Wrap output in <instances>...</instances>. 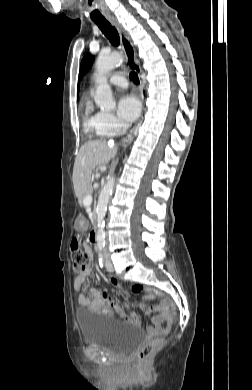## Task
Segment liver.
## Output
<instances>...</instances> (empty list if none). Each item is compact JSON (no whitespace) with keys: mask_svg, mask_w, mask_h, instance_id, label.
<instances>
[{"mask_svg":"<svg viewBox=\"0 0 252 390\" xmlns=\"http://www.w3.org/2000/svg\"><path fill=\"white\" fill-rule=\"evenodd\" d=\"M117 148L106 141H89L81 146L73 167V185L75 195L83 197L90 185L92 171L107 164L115 157Z\"/></svg>","mask_w":252,"mask_h":390,"instance_id":"obj_1","label":"liver"}]
</instances>
